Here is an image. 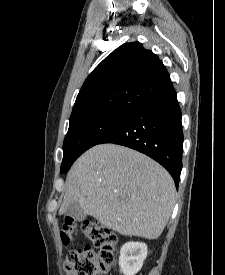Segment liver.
I'll list each match as a JSON object with an SVG mask.
<instances>
[{"label": "liver", "mask_w": 225, "mask_h": 275, "mask_svg": "<svg viewBox=\"0 0 225 275\" xmlns=\"http://www.w3.org/2000/svg\"><path fill=\"white\" fill-rule=\"evenodd\" d=\"M175 194L172 177L151 158L124 146L99 144L68 172L59 214L78 202L109 229L156 239L171 216Z\"/></svg>", "instance_id": "6515ba94"}]
</instances>
